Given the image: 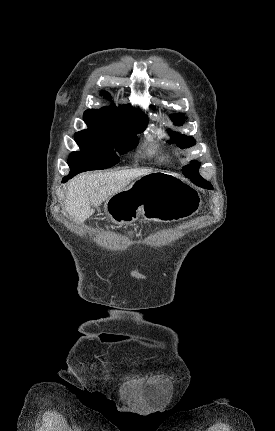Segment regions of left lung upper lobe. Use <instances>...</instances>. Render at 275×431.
Listing matches in <instances>:
<instances>
[{
  "instance_id": "1",
  "label": "left lung upper lobe",
  "mask_w": 275,
  "mask_h": 431,
  "mask_svg": "<svg viewBox=\"0 0 275 431\" xmlns=\"http://www.w3.org/2000/svg\"><path fill=\"white\" fill-rule=\"evenodd\" d=\"M171 119L175 125H182L185 120L183 113L171 115ZM172 139L169 143H176L179 147L187 148L195 144V140L186 135H180L178 133H171ZM200 163L198 161H191V165L183 168V174L187 177H201L198 173Z\"/></svg>"
}]
</instances>
